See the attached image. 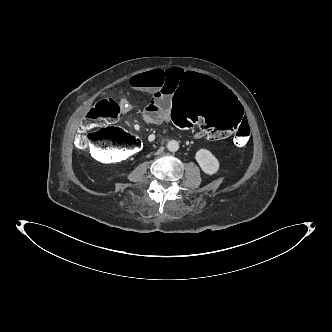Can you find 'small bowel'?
<instances>
[{"mask_svg": "<svg viewBox=\"0 0 332 332\" xmlns=\"http://www.w3.org/2000/svg\"><path fill=\"white\" fill-rule=\"evenodd\" d=\"M182 78H184V72L180 69H154L137 74L130 79V85L133 89L149 92L153 96L143 111V119L147 123L159 125L171 119V100ZM130 111L131 104L125 99L122 100L121 113L127 114ZM194 137L197 139L207 138L201 133L194 134Z\"/></svg>", "mask_w": 332, "mask_h": 332, "instance_id": "small-bowel-1", "label": "small bowel"}]
</instances>
